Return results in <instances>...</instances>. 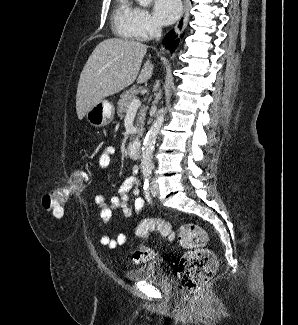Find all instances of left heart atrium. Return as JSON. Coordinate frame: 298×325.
<instances>
[{"label": "left heart atrium", "mask_w": 298, "mask_h": 325, "mask_svg": "<svg viewBox=\"0 0 298 325\" xmlns=\"http://www.w3.org/2000/svg\"><path fill=\"white\" fill-rule=\"evenodd\" d=\"M182 12L180 0H156L154 3V17L161 26L175 22Z\"/></svg>", "instance_id": "1"}]
</instances>
